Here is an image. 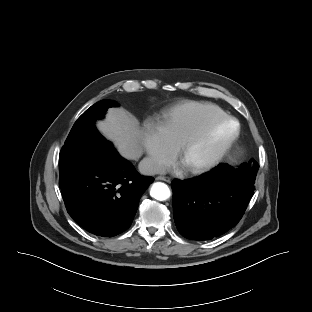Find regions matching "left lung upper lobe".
<instances>
[{
    "label": "left lung upper lobe",
    "instance_id": "obj_1",
    "mask_svg": "<svg viewBox=\"0 0 312 312\" xmlns=\"http://www.w3.org/2000/svg\"><path fill=\"white\" fill-rule=\"evenodd\" d=\"M231 168L240 178L254 184L259 165L254 159H250L248 163H243L238 168Z\"/></svg>",
    "mask_w": 312,
    "mask_h": 312
}]
</instances>
